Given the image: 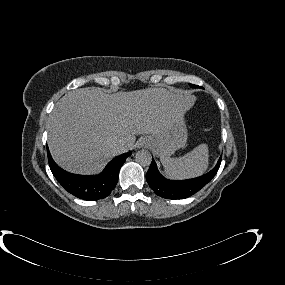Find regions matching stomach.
<instances>
[{
    "instance_id": "1",
    "label": "stomach",
    "mask_w": 285,
    "mask_h": 285,
    "mask_svg": "<svg viewBox=\"0 0 285 285\" xmlns=\"http://www.w3.org/2000/svg\"><path fill=\"white\" fill-rule=\"evenodd\" d=\"M185 113L179 114L164 130L146 137L161 158L169 157L185 146L188 137Z\"/></svg>"
}]
</instances>
